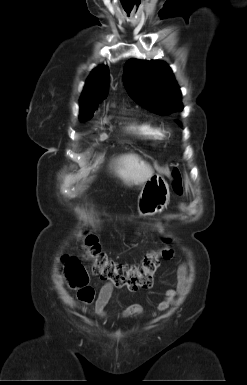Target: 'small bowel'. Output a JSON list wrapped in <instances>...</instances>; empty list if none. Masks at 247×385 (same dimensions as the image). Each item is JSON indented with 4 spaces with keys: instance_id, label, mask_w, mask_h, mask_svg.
<instances>
[{
    "instance_id": "small-bowel-1",
    "label": "small bowel",
    "mask_w": 247,
    "mask_h": 385,
    "mask_svg": "<svg viewBox=\"0 0 247 385\" xmlns=\"http://www.w3.org/2000/svg\"><path fill=\"white\" fill-rule=\"evenodd\" d=\"M187 282V266L186 264H181L177 269V287L175 289H169L164 293L162 301L158 304V311H166L169 308H172L177 297L183 292ZM114 290V285L110 282L105 283L99 291L97 300L94 304V312L97 316L105 318L107 316L106 306L110 301ZM143 312V308L140 304H131L126 307L122 315L125 318L134 317L140 315Z\"/></svg>"
}]
</instances>
